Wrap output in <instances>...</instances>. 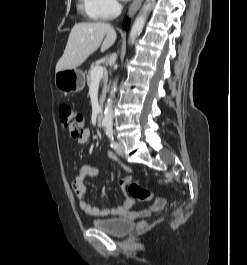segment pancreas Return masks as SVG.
Returning <instances> with one entry per match:
<instances>
[{"label": "pancreas", "mask_w": 247, "mask_h": 265, "mask_svg": "<svg viewBox=\"0 0 247 265\" xmlns=\"http://www.w3.org/2000/svg\"><path fill=\"white\" fill-rule=\"evenodd\" d=\"M98 64H93L91 66V69L88 71V74H87V84L90 85L92 83V78H91V72L92 70L97 67ZM102 84H103V89H102V97H101V101L103 100L104 98V95H105V92H106V87H107V78L106 77H103V80L101 81Z\"/></svg>", "instance_id": "pancreas-1"}]
</instances>
